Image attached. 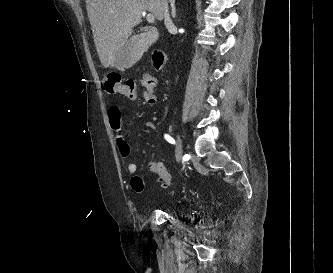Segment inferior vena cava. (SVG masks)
Listing matches in <instances>:
<instances>
[{"instance_id":"inferior-vena-cava-1","label":"inferior vena cava","mask_w":333,"mask_h":273,"mask_svg":"<svg viewBox=\"0 0 333 273\" xmlns=\"http://www.w3.org/2000/svg\"><path fill=\"white\" fill-rule=\"evenodd\" d=\"M161 11L163 14L164 24L166 28H171L173 26V23L168 11V0H161Z\"/></svg>"}]
</instances>
